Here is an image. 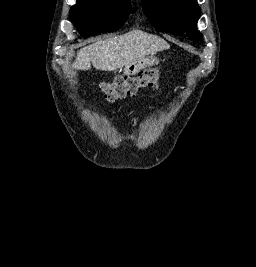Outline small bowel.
<instances>
[{
    "label": "small bowel",
    "instance_id": "obj_1",
    "mask_svg": "<svg viewBox=\"0 0 256 267\" xmlns=\"http://www.w3.org/2000/svg\"><path fill=\"white\" fill-rule=\"evenodd\" d=\"M134 123H136V121H135V120H133V124H134Z\"/></svg>",
    "mask_w": 256,
    "mask_h": 267
}]
</instances>
